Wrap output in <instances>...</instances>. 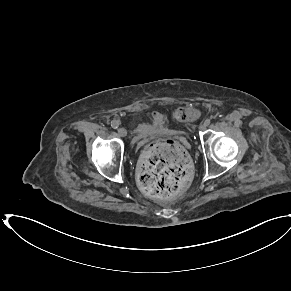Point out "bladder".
Segmentation results:
<instances>
[{"label":"bladder","instance_id":"1","mask_svg":"<svg viewBox=\"0 0 291 291\" xmlns=\"http://www.w3.org/2000/svg\"><path fill=\"white\" fill-rule=\"evenodd\" d=\"M169 129L164 115L157 114L150 123L136 127V134L143 136H156Z\"/></svg>","mask_w":291,"mask_h":291}]
</instances>
